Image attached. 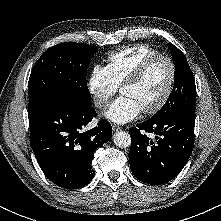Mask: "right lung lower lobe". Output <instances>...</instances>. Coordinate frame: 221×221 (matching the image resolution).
<instances>
[{"mask_svg": "<svg viewBox=\"0 0 221 221\" xmlns=\"http://www.w3.org/2000/svg\"><path fill=\"white\" fill-rule=\"evenodd\" d=\"M96 116L91 105L77 107L63 100H52L29 114L31 147L43 173L56 185L77 189L93 179L94 152L112 137L106 120L82 131Z\"/></svg>", "mask_w": 221, "mask_h": 221, "instance_id": "1", "label": "right lung lower lobe"}]
</instances>
